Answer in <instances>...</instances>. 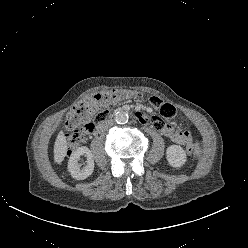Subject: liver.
<instances>
[{"instance_id": "1", "label": "liver", "mask_w": 248, "mask_h": 248, "mask_svg": "<svg viewBox=\"0 0 248 248\" xmlns=\"http://www.w3.org/2000/svg\"><path fill=\"white\" fill-rule=\"evenodd\" d=\"M67 152V142L63 132H60L54 144V161L55 163H61Z\"/></svg>"}]
</instances>
